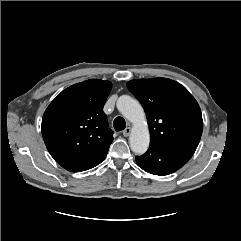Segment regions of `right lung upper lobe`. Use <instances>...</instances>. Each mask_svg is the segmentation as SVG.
<instances>
[{
  "label": "right lung upper lobe",
  "instance_id": "right-lung-upper-lobe-1",
  "mask_svg": "<svg viewBox=\"0 0 241 241\" xmlns=\"http://www.w3.org/2000/svg\"><path fill=\"white\" fill-rule=\"evenodd\" d=\"M112 83L90 79L63 90L42 118L45 145L62 167L92 159L109 149L113 132L103 106Z\"/></svg>",
  "mask_w": 241,
  "mask_h": 241
}]
</instances>
